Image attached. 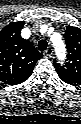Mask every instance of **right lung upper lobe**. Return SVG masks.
<instances>
[{"label": "right lung upper lobe", "mask_w": 81, "mask_h": 124, "mask_svg": "<svg viewBox=\"0 0 81 124\" xmlns=\"http://www.w3.org/2000/svg\"><path fill=\"white\" fill-rule=\"evenodd\" d=\"M24 21L11 22L0 31V81L16 85L27 80L42 53L21 37Z\"/></svg>", "instance_id": "obj_1"}]
</instances>
